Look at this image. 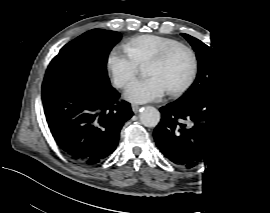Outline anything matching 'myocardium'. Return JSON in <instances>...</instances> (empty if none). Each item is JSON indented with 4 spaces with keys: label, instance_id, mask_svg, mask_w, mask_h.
Masks as SVG:
<instances>
[{
    "label": "myocardium",
    "instance_id": "f54148a6",
    "mask_svg": "<svg viewBox=\"0 0 270 213\" xmlns=\"http://www.w3.org/2000/svg\"><path fill=\"white\" fill-rule=\"evenodd\" d=\"M177 51H184V52L189 54V56L191 58V67H190L188 77L184 81V83L182 85H180L179 87L175 88V89L168 90V94L171 97H177V96L183 94L193 84L195 74H196V71H197V58H196V55H195L194 51L190 47H188L186 45H178V46H175L173 48H170L168 50H165V51L161 52L160 54L155 56L151 60V62L148 64L149 68L151 66L159 65V64L163 63L171 54H173V53H175Z\"/></svg>",
    "mask_w": 270,
    "mask_h": 213
}]
</instances>
